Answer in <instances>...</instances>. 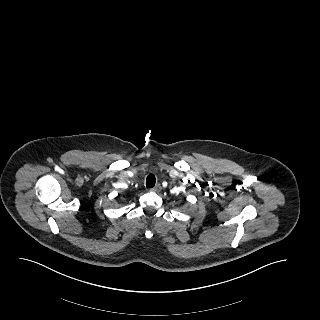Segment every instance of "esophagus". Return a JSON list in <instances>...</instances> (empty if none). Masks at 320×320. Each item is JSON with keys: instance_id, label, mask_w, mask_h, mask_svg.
<instances>
[{"instance_id": "1", "label": "esophagus", "mask_w": 320, "mask_h": 320, "mask_svg": "<svg viewBox=\"0 0 320 320\" xmlns=\"http://www.w3.org/2000/svg\"><path fill=\"white\" fill-rule=\"evenodd\" d=\"M161 189L160 184H157L155 187L149 189L151 192H158Z\"/></svg>"}]
</instances>
